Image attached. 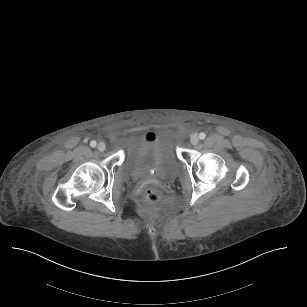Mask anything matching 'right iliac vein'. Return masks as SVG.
Returning <instances> with one entry per match:
<instances>
[{
  "instance_id": "right-iliac-vein-1",
  "label": "right iliac vein",
  "mask_w": 307,
  "mask_h": 307,
  "mask_svg": "<svg viewBox=\"0 0 307 307\" xmlns=\"http://www.w3.org/2000/svg\"><path fill=\"white\" fill-rule=\"evenodd\" d=\"M105 148H106V145L103 142H100L97 146V149L101 152L104 151Z\"/></svg>"
}]
</instances>
